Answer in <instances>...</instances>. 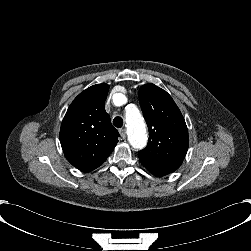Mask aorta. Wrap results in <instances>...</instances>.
<instances>
[{"label": "aorta", "instance_id": "aorta-1", "mask_svg": "<svg viewBox=\"0 0 251 251\" xmlns=\"http://www.w3.org/2000/svg\"><path fill=\"white\" fill-rule=\"evenodd\" d=\"M126 133L128 141L134 149H143L147 144L146 124L143 116L134 105L126 108Z\"/></svg>", "mask_w": 251, "mask_h": 251}]
</instances>
